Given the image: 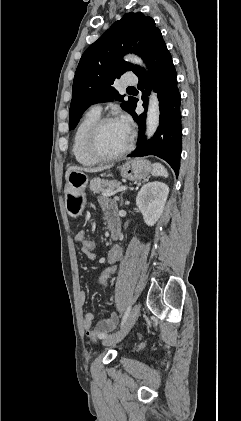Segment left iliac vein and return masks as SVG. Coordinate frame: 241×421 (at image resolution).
I'll return each mask as SVG.
<instances>
[{
    "mask_svg": "<svg viewBox=\"0 0 241 421\" xmlns=\"http://www.w3.org/2000/svg\"><path fill=\"white\" fill-rule=\"evenodd\" d=\"M140 315V305L136 304L130 315L128 316L126 322L124 323L122 329L120 331H118L116 334L106 338L103 341V344L106 346H112L115 345L116 343L120 342L130 331V329L133 327V325L135 324V322L137 321L138 317Z\"/></svg>",
    "mask_w": 241,
    "mask_h": 421,
    "instance_id": "1",
    "label": "left iliac vein"
}]
</instances>
